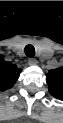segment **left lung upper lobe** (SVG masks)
<instances>
[{
    "label": "left lung upper lobe",
    "mask_w": 63,
    "mask_h": 123,
    "mask_svg": "<svg viewBox=\"0 0 63 123\" xmlns=\"http://www.w3.org/2000/svg\"><path fill=\"white\" fill-rule=\"evenodd\" d=\"M49 92L55 98L63 99V68L50 70L46 74Z\"/></svg>",
    "instance_id": "left-lung-upper-lobe-1"
}]
</instances>
